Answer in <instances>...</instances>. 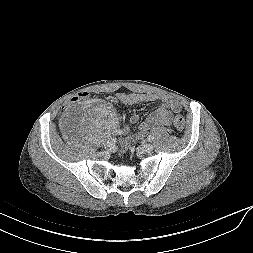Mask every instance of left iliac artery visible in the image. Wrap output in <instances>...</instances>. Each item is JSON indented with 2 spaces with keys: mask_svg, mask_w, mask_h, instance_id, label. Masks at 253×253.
Listing matches in <instances>:
<instances>
[{
  "mask_svg": "<svg viewBox=\"0 0 253 253\" xmlns=\"http://www.w3.org/2000/svg\"><path fill=\"white\" fill-rule=\"evenodd\" d=\"M147 139L149 142H152L154 140V137L152 135H149Z\"/></svg>",
  "mask_w": 253,
  "mask_h": 253,
  "instance_id": "1",
  "label": "left iliac artery"
}]
</instances>
